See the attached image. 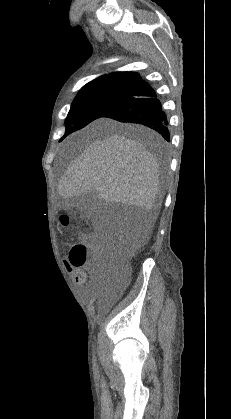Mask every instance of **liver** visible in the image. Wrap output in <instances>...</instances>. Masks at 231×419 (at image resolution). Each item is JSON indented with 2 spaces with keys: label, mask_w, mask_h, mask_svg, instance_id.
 I'll list each match as a JSON object with an SVG mask.
<instances>
[{
  "label": "liver",
  "mask_w": 231,
  "mask_h": 419,
  "mask_svg": "<svg viewBox=\"0 0 231 419\" xmlns=\"http://www.w3.org/2000/svg\"><path fill=\"white\" fill-rule=\"evenodd\" d=\"M101 122L112 131L135 129L113 121ZM158 185L159 166L153 154L138 141L115 132L104 140H94L85 148L61 177L58 192L64 198H72L94 191L106 202L138 207L147 218L138 233L142 237L137 242L139 245L158 215Z\"/></svg>",
  "instance_id": "liver-1"
}]
</instances>
